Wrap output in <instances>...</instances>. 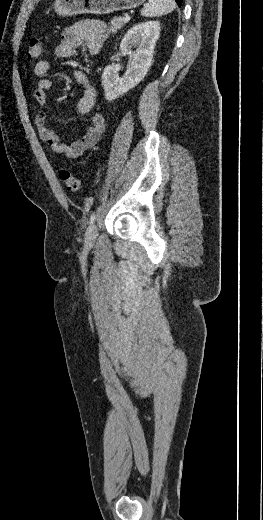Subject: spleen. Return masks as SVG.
<instances>
[{"label":"spleen","mask_w":263,"mask_h":520,"mask_svg":"<svg viewBox=\"0 0 263 520\" xmlns=\"http://www.w3.org/2000/svg\"><path fill=\"white\" fill-rule=\"evenodd\" d=\"M176 7L174 0H148L141 10L145 17H157L172 12Z\"/></svg>","instance_id":"obj_1"}]
</instances>
